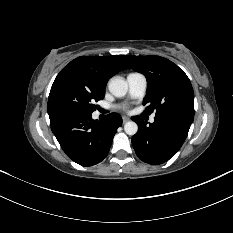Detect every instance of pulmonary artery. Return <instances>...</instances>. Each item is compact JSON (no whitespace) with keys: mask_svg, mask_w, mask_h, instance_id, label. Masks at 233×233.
Listing matches in <instances>:
<instances>
[{"mask_svg":"<svg viewBox=\"0 0 233 233\" xmlns=\"http://www.w3.org/2000/svg\"><path fill=\"white\" fill-rule=\"evenodd\" d=\"M127 83L129 86V94L132 98H139L145 94L147 88V80L144 75L140 73H131L127 76ZM155 115L150 118L154 122Z\"/></svg>","mask_w":233,"mask_h":233,"instance_id":"e3ab8cb5","label":"pulmonary artery"}]
</instances>
